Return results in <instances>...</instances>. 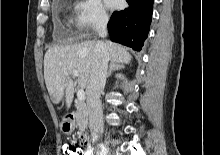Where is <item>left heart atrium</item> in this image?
<instances>
[{
	"mask_svg": "<svg viewBox=\"0 0 220 155\" xmlns=\"http://www.w3.org/2000/svg\"><path fill=\"white\" fill-rule=\"evenodd\" d=\"M109 8H115L119 5V0H104Z\"/></svg>",
	"mask_w": 220,
	"mask_h": 155,
	"instance_id": "39dd6f15",
	"label": "left heart atrium"
}]
</instances>
